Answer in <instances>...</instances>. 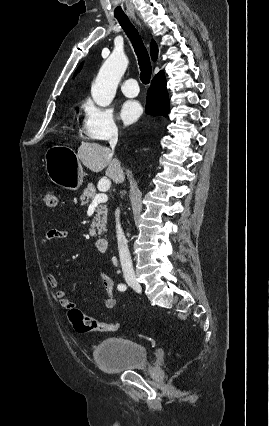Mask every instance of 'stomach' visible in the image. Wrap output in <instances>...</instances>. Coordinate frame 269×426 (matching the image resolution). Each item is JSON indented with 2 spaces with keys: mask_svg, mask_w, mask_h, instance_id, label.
<instances>
[{
  "mask_svg": "<svg viewBox=\"0 0 269 426\" xmlns=\"http://www.w3.org/2000/svg\"><path fill=\"white\" fill-rule=\"evenodd\" d=\"M45 169L49 179L65 189L76 191L82 185L83 167L69 147L55 145L47 149Z\"/></svg>",
  "mask_w": 269,
  "mask_h": 426,
  "instance_id": "obj_1",
  "label": "stomach"
}]
</instances>
